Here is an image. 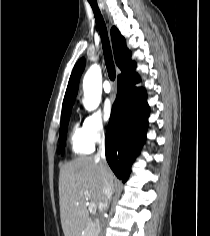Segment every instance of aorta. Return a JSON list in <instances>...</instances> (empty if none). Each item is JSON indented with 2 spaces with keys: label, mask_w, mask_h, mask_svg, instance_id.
<instances>
[{
  "label": "aorta",
  "mask_w": 210,
  "mask_h": 236,
  "mask_svg": "<svg viewBox=\"0 0 210 236\" xmlns=\"http://www.w3.org/2000/svg\"><path fill=\"white\" fill-rule=\"evenodd\" d=\"M84 107L88 111L96 109L102 94V73L97 64H93L86 72L83 79Z\"/></svg>",
  "instance_id": "762f6f07"
}]
</instances>
